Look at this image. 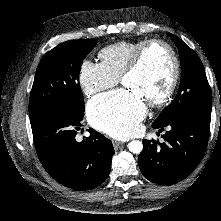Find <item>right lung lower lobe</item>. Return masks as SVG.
Masks as SVG:
<instances>
[{
	"label": "right lung lower lobe",
	"instance_id": "98d812e1",
	"mask_svg": "<svg viewBox=\"0 0 221 221\" xmlns=\"http://www.w3.org/2000/svg\"><path fill=\"white\" fill-rule=\"evenodd\" d=\"M83 117L52 109L30 118L38 157L56 181L73 190H90L107 178L114 149L111 141L89 129L90 136L77 142Z\"/></svg>",
	"mask_w": 221,
	"mask_h": 221
}]
</instances>
